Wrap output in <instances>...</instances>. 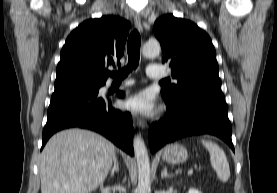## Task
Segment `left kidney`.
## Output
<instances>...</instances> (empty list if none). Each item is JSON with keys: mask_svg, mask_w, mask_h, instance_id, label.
Here are the masks:
<instances>
[{"mask_svg": "<svg viewBox=\"0 0 277 193\" xmlns=\"http://www.w3.org/2000/svg\"><path fill=\"white\" fill-rule=\"evenodd\" d=\"M188 193H201V192L198 191L197 189L190 188Z\"/></svg>", "mask_w": 277, "mask_h": 193, "instance_id": "left-kidney-1", "label": "left kidney"}]
</instances>
